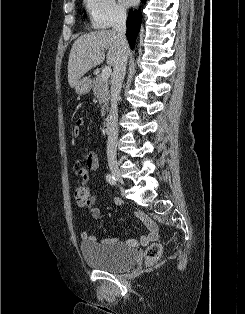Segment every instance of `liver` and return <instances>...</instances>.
Segmentation results:
<instances>
[{
    "mask_svg": "<svg viewBox=\"0 0 245 314\" xmlns=\"http://www.w3.org/2000/svg\"><path fill=\"white\" fill-rule=\"evenodd\" d=\"M120 44L113 30H99L80 36L72 45L68 60V83L71 88L90 69L101 64L107 53V64L114 65Z\"/></svg>",
    "mask_w": 245,
    "mask_h": 314,
    "instance_id": "liver-1",
    "label": "liver"
}]
</instances>
